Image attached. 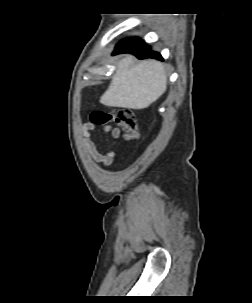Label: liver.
Listing matches in <instances>:
<instances>
[{
	"label": "liver",
	"instance_id": "liver-1",
	"mask_svg": "<svg viewBox=\"0 0 252 303\" xmlns=\"http://www.w3.org/2000/svg\"><path fill=\"white\" fill-rule=\"evenodd\" d=\"M133 63L131 55H126L117 63L116 73L100 98L103 105L144 109L166 91L167 77L161 62L147 60L137 65Z\"/></svg>",
	"mask_w": 252,
	"mask_h": 303
}]
</instances>
